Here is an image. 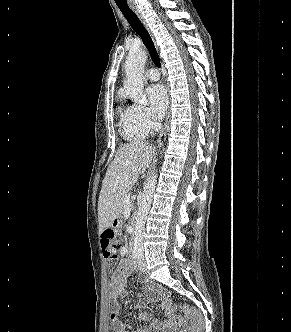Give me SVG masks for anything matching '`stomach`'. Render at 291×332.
Segmentation results:
<instances>
[{
	"mask_svg": "<svg viewBox=\"0 0 291 332\" xmlns=\"http://www.w3.org/2000/svg\"><path fill=\"white\" fill-rule=\"evenodd\" d=\"M114 229H119L121 226V215H119L113 222L111 225Z\"/></svg>",
	"mask_w": 291,
	"mask_h": 332,
	"instance_id": "1",
	"label": "stomach"
}]
</instances>
